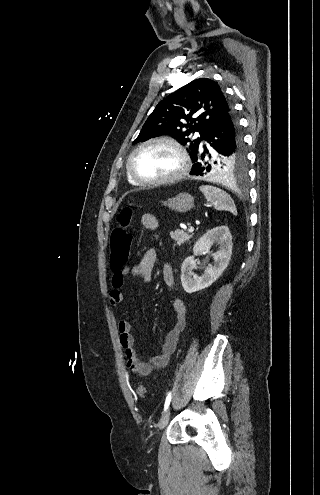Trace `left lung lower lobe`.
<instances>
[{"label":"left lung lower lobe","mask_w":320,"mask_h":495,"mask_svg":"<svg viewBox=\"0 0 320 495\" xmlns=\"http://www.w3.org/2000/svg\"><path fill=\"white\" fill-rule=\"evenodd\" d=\"M238 128V121L233 110L218 119L204 139L208 143V148L206 145H201L199 151L191 157L195 164L190 174L196 176L211 175L210 166L205 161V154L214 148L229 147L231 150H235L239 136Z\"/></svg>","instance_id":"0a47b994"}]
</instances>
